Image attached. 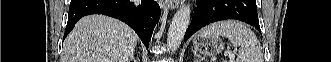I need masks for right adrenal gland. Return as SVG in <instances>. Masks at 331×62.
<instances>
[{
  "label": "right adrenal gland",
  "mask_w": 331,
  "mask_h": 62,
  "mask_svg": "<svg viewBox=\"0 0 331 62\" xmlns=\"http://www.w3.org/2000/svg\"><path fill=\"white\" fill-rule=\"evenodd\" d=\"M131 61H133V62H137V61L135 60L134 53H133V54L131 55V57H130L129 62H131Z\"/></svg>",
  "instance_id": "2a0ac1e0"
}]
</instances>
